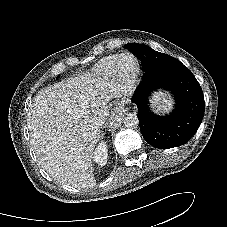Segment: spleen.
<instances>
[{
    "label": "spleen",
    "instance_id": "1",
    "mask_svg": "<svg viewBox=\"0 0 227 227\" xmlns=\"http://www.w3.org/2000/svg\"><path fill=\"white\" fill-rule=\"evenodd\" d=\"M164 102H166V100H163V103ZM161 107L164 108V109H166V106H164V105L163 106H161V105L158 106V108H161Z\"/></svg>",
    "mask_w": 227,
    "mask_h": 227
}]
</instances>
